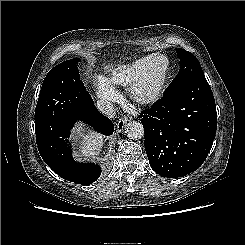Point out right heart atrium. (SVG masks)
Segmentation results:
<instances>
[{
  "mask_svg": "<svg viewBox=\"0 0 245 245\" xmlns=\"http://www.w3.org/2000/svg\"><path fill=\"white\" fill-rule=\"evenodd\" d=\"M97 92L100 99L104 101L115 100L118 96L116 90L103 78L97 80Z\"/></svg>",
  "mask_w": 245,
  "mask_h": 245,
  "instance_id": "1",
  "label": "right heart atrium"
}]
</instances>
